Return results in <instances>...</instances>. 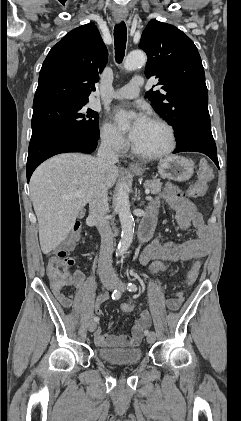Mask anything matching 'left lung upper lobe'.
Masks as SVG:
<instances>
[{
  "label": "left lung upper lobe",
  "mask_w": 241,
  "mask_h": 421,
  "mask_svg": "<svg viewBox=\"0 0 241 421\" xmlns=\"http://www.w3.org/2000/svg\"><path fill=\"white\" fill-rule=\"evenodd\" d=\"M139 47L148 56L145 75L155 77L161 91L146 97L155 111L175 130L176 141L198 125L210 122L208 90L199 52L193 41L173 25L149 21Z\"/></svg>",
  "instance_id": "left-lung-upper-lobe-1"
}]
</instances>
